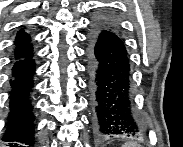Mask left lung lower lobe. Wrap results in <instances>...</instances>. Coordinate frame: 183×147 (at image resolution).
Returning <instances> with one entry per match:
<instances>
[{
  "instance_id": "left-lung-lower-lobe-1",
  "label": "left lung lower lobe",
  "mask_w": 183,
  "mask_h": 147,
  "mask_svg": "<svg viewBox=\"0 0 183 147\" xmlns=\"http://www.w3.org/2000/svg\"><path fill=\"white\" fill-rule=\"evenodd\" d=\"M93 124L101 137L141 134L132 111L127 51L116 32L94 26L87 52Z\"/></svg>"
}]
</instances>
